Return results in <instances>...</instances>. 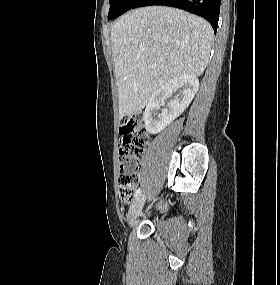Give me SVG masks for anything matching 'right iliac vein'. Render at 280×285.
I'll return each instance as SVG.
<instances>
[{
    "mask_svg": "<svg viewBox=\"0 0 280 285\" xmlns=\"http://www.w3.org/2000/svg\"><path fill=\"white\" fill-rule=\"evenodd\" d=\"M145 203V196H140L130 207L127 215V222L129 225L133 224L135 219L140 214Z\"/></svg>",
    "mask_w": 280,
    "mask_h": 285,
    "instance_id": "1",
    "label": "right iliac vein"
}]
</instances>
